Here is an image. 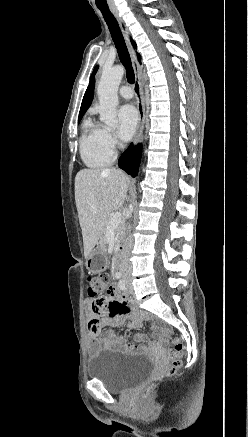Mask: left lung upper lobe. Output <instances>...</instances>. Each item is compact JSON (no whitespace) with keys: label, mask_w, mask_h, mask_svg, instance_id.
Wrapping results in <instances>:
<instances>
[{"label":"left lung upper lobe","mask_w":248,"mask_h":437,"mask_svg":"<svg viewBox=\"0 0 248 437\" xmlns=\"http://www.w3.org/2000/svg\"><path fill=\"white\" fill-rule=\"evenodd\" d=\"M98 66L95 67L93 73H92V77L95 75V73L97 72Z\"/></svg>","instance_id":"obj_1"}]
</instances>
